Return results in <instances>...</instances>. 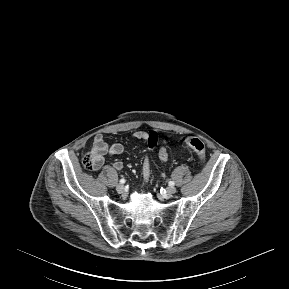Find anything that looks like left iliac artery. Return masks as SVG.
Returning <instances> with one entry per match:
<instances>
[{
  "instance_id": "obj_1",
  "label": "left iliac artery",
  "mask_w": 289,
  "mask_h": 289,
  "mask_svg": "<svg viewBox=\"0 0 289 289\" xmlns=\"http://www.w3.org/2000/svg\"><path fill=\"white\" fill-rule=\"evenodd\" d=\"M168 184H169V186H174L175 182L174 181H170Z\"/></svg>"
}]
</instances>
